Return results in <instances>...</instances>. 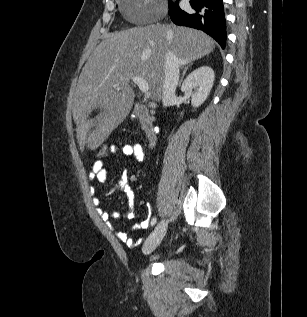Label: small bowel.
<instances>
[{"label": "small bowel", "instance_id": "small-bowel-1", "mask_svg": "<svg viewBox=\"0 0 307 317\" xmlns=\"http://www.w3.org/2000/svg\"><path fill=\"white\" fill-rule=\"evenodd\" d=\"M113 154H122L127 157H133L138 162H142L145 159V153L140 144L137 143H127L123 145H114L112 149ZM108 176V170L105 166L104 162L95 161L92 165V173L90 178L96 179L99 183H105ZM132 178L130 176H126L124 181L121 183L119 189L126 195L129 210L126 214V218L131 220L134 218V202H135V194L131 186L129 185V180ZM94 203L99 204V199L95 198ZM100 216L103 221L109 223L111 219H119L121 214L119 212L108 213L105 211H100ZM152 221V220H151ZM147 227V222L144 221L140 223L137 228H145ZM117 237L125 243L128 247H134L139 244V241L132 239L129 235L122 231L116 232Z\"/></svg>", "mask_w": 307, "mask_h": 317}]
</instances>
